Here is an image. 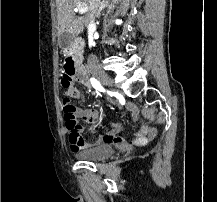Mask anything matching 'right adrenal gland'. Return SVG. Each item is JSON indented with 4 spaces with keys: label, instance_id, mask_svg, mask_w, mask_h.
Returning a JSON list of instances; mask_svg holds the SVG:
<instances>
[{
    "label": "right adrenal gland",
    "instance_id": "2a0ac1e0",
    "mask_svg": "<svg viewBox=\"0 0 217 202\" xmlns=\"http://www.w3.org/2000/svg\"><path fill=\"white\" fill-rule=\"evenodd\" d=\"M108 4H109V0H102V2H100V6L96 18H100L102 10H104V8H107Z\"/></svg>",
    "mask_w": 217,
    "mask_h": 202
}]
</instances>
